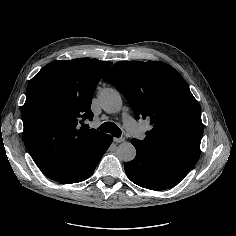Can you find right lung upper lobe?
Wrapping results in <instances>:
<instances>
[{"label": "right lung upper lobe", "instance_id": "obj_1", "mask_svg": "<svg viewBox=\"0 0 236 236\" xmlns=\"http://www.w3.org/2000/svg\"><path fill=\"white\" fill-rule=\"evenodd\" d=\"M111 64L96 59L60 60L47 64L30 80L22 107L23 140L36 165L50 179L76 152L105 135L79 128L78 122L93 119L92 96Z\"/></svg>", "mask_w": 236, "mask_h": 236}]
</instances>
